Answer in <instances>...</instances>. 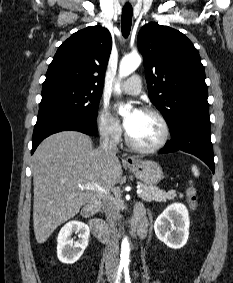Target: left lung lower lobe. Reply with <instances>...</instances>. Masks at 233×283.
<instances>
[{
	"label": "left lung lower lobe",
	"instance_id": "obj_1",
	"mask_svg": "<svg viewBox=\"0 0 233 283\" xmlns=\"http://www.w3.org/2000/svg\"><path fill=\"white\" fill-rule=\"evenodd\" d=\"M171 140L160 154L184 151L204 161L214 173V155L211 143V123L209 115H193L170 128Z\"/></svg>",
	"mask_w": 233,
	"mask_h": 283
}]
</instances>
